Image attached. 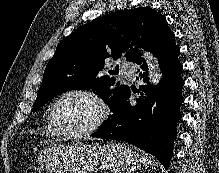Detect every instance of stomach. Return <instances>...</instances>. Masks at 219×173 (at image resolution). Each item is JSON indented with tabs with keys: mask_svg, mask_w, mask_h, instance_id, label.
Listing matches in <instances>:
<instances>
[{
	"mask_svg": "<svg viewBox=\"0 0 219 173\" xmlns=\"http://www.w3.org/2000/svg\"><path fill=\"white\" fill-rule=\"evenodd\" d=\"M39 164L46 173H132L140 160L139 154L123 143L55 142L42 150Z\"/></svg>",
	"mask_w": 219,
	"mask_h": 173,
	"instance_id": "obj_1",
	"label": "stomach"
}]
</instances>
